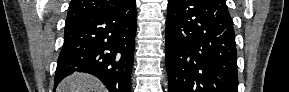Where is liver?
<instances>
[{
	"mask_svg": "<svg viewBox=\"0 0 289 92\" xmlns=\"http://www.w3.org/2000/svg\"><path fill=\"white\" fill-rule=\"evenodd\" d=\"M57 92H106V88L92 75L74 73L62 80Z\"/></svg>",
	"mask_w": 289,
	"mask_h": 92,
	"instance_id": "1",
	"label": "liver"
}]
</instances>
